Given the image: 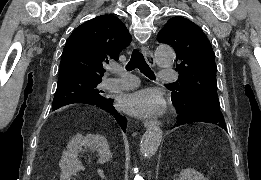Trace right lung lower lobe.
Listing matches in <instances>:
<instances>
[{
	"mask_svg": "<svg viewBox=\"0 0 261 180\" xmlns=\"http://www.w3.org/2000/svg\"><path fill=\"white\" fill-rule=\"evenodd\" d=\"M70 103H85V104L95 105L97 107L105 109L108 113H110L111 115H113L115 117V119L117 120V122L119 123V125L121 126L123 131H125L127 121L122 115H120L114 109V107L112 105V103H113L112 99H109L106 97H103L101 99H95V100H89V99L82 98V99L72 100V101L68 102L67 104H70Z\"/></svg>",
	"mask_w": 261,
	"mask_h": 180,
	"instance_id": "98d812e1",
	"label": "right lung lower lobe"
}]
</instances>
